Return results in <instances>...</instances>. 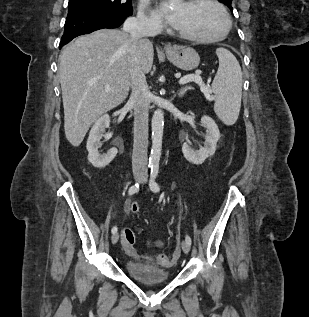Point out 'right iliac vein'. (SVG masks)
<instances>
[{"instance_id":"1","label":"right iliac vein","mask_w":309,"mask_h":317,"mask_svg":"<svg viewBox=\"0 0 309 317\" xmlns=\"http://www.w3.org/2000/svg\"><path fill=\"white\" fill-rule=\"evenodd\" d=\"M142 177H143V172L142 171L136 170L134 172V179L136 181H140L142 179ZM118 240H119V233L116 232L115 234L112 235L111 242H112V244H116L118 242Z\"/></svg>"}]
</instances>
